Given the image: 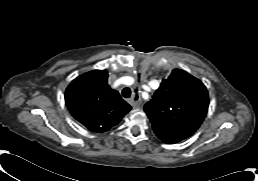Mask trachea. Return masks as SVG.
<instances>
[{"label": "trachea", "mask_w": 258, "mask_h": 181, "mask_svg": "<svg viewBox=\"0 0 258 181\" xmlns=\"http://www.w3.org/2000/svg\"><path fill=\"white\" fill-rule=\"evenodd\" d=\"M122 95L125 98H129L131 96V90L130 88L126 87L122 90Z\"/></svg>", "instance_id": "trachea-1"}]
</instances>
